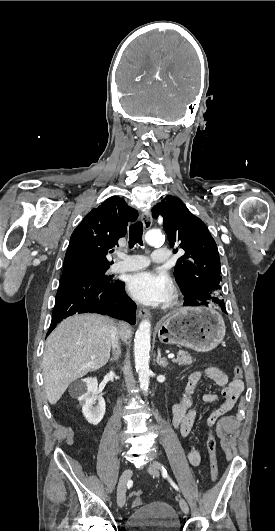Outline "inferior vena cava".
I'll use <instances>...</instances> for the list:
<instances>
[{
    "instance_id": "obj_1",
    "label": "inferior vena cava",
    "mask_w": 275,
    "mask_h": 531,
    "mask_svg": "<svg viewBox=\"0 0 275 531\" xmlns=\"http://www.w3.org/2000/svg\"><path fill=\"white\" fill-rule=\"evenodd\" d=\"M111 337H112L113 353H114V355H116V353H118V351H119V355H120L121 351H120V345H119L118 327H111Z\"/></svg>"
}]
</instances>
